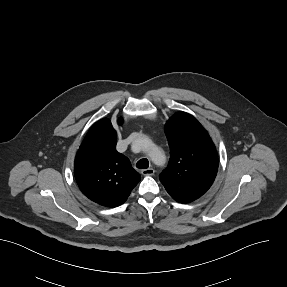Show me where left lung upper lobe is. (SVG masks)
Listing matches in <instances>:
<instances>
[{
    "label": "left lung upper lobe",
    "instance_id": "1",
    "mask_svg": "<svg viewBox=\"0 0 287 287\" xmlns=\"http://www.w3.org/2000/svg\"><path fill=\"white\" fill-rule=\"evenodd\" d=\"M165 134L170 161L160 174V181L175 201L192 202L208 191L216 177V148L202 125L186 112L169 119Z\"/></svg>",
    "mask_w": 287,
    "mask_h": 287
}]
</instances>
